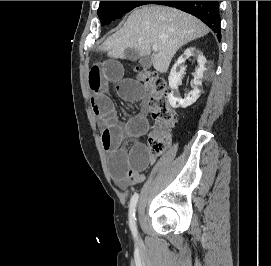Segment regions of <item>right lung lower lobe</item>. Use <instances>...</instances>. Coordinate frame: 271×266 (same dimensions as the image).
<instances>
[{"instance_id":"98d812e1","label":"right lung lower lobe","mask_w":271,"mask_h":266,"mask_svg":"<svg viewBox=\"0 0 271 266\" xmlns=\"http://www.w3.org/2000/svg\"><path fill=\"white\" fill-rule=\"evenodd\" d=\"M150 4L175 7L190 13L203 21L216 33L218 39H221L218 1H152Z\"/></svg>"}]
</instances>
